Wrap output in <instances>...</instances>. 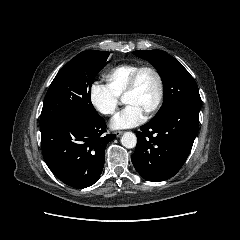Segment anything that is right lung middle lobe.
Returning <instances> with one entry per match:
<instances>
[{"mask_svg":"<svg viewBox=\"0 0 240 240\" xmlns=\"http://www.w3.org/2000/svg\"><path fill=\"white\" fill-rule=\"evenodd\" d=\"M107 51L87 50L70 60L56 75L45 96L40 122L57 115L95 117L91 85L108 63Z\"/></svg>","mask_w":240,"mask_h":240,"instance_id":"right-lung-middle-lobe-1","label":"right lung middle lobe"}]
</instances>
